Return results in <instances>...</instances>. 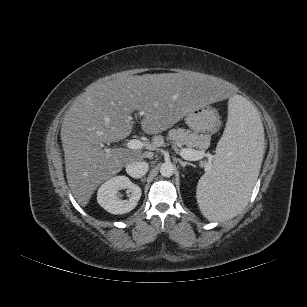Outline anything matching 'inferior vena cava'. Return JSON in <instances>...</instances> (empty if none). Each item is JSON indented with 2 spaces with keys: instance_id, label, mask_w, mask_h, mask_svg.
Instances as JSON below:
<instances>
[{
  "instance_id": "obj_1",
  "label": "inferior vena cava",
  "mask_w": 307,
  "mask_h": 307,
  "mask_svg": "<svg viewBox=\"0 0 307 307\" xmlns=\"http://www.w3.org/2000/svg\"><path fill=\"white\" fill-rule=\"evenodd\" d=\"M148 171V163L144 161H134L126 165V172L133 178H141Z\"/></svg>"
}]
</instances>
